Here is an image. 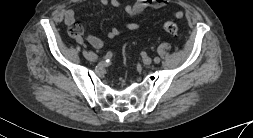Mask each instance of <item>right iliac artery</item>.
I'll return each mask as SVG.
<instances>
[{"mask_svg":"<svg viewBox=\"0 0 253 138\" xmlns=\"http://www.w3.org/2000/svg\"><path fill=\"white\" fill-rule=\"evenodd\" d=\"M76 42L79 44V45H83L84 43H85V40L81 37V36H78L77 38H76ZM90 53V55H91V57H94V58H96L97 56L94 54V53H92V52H89ZM111 56H112V54L110 53V52H108L105 56H104V59H110L111 58Z\"/></svg>","mask_w":253,"mask_h":138,"instance_id":"right-iliac-artery-1","label":"right iliac artery"}]
</instances>
